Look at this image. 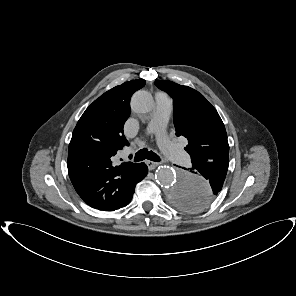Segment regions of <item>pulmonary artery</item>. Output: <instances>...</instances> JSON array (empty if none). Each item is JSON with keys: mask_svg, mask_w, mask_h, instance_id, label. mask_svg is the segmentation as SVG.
<instances>
[{"mask_svg": "<svg viewBox=\"0 0 296 296\" xmlns=\"http://www.w3.org/2000/svg\"><path fill=\"white\" fill-rule=\"evenodd\" d=\"M155 109L147 125V134L155 135L162 152L172 161L185 164L189 161L186 152L178 148L166 135V124L173 109V100L163 92L155 95Z\"/></svg>", "mask_w": 296, "mask_h": 296, "instance_id": "1", "label": "pulmonary artery"}]
</instances>
